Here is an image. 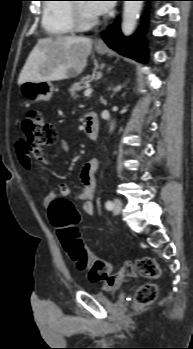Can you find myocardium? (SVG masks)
Listing matches in <instances>:
<instances>
[{
  "label": "myocardium",
  "mask_w": 193,
  "mask_h": 349,
  "mask_svg": "<svg viewBox=\"0 0 193 349\" xmlns=\"http://www.w3.org/2000/svg\"><path fill=\"white\" fill-rule=\"evenodd\" d=\"M71 16L73 27L77 31L88 30L98 23L97 17L89 15L80 2L72 4Z\"/></svg>",
  "instance_id": "obj_1"
}]
</instances>
